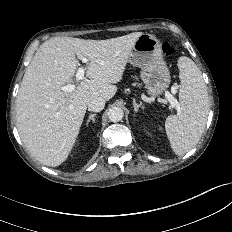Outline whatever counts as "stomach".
Returning a JSON list of instances; mask_svg holds the SVG:
<instances>
[{"instance_id":"obj_1","label":"stomach","mask_w":232,"mask_h":232,"mask_svg":"<svg viewBox=\"0 0 232 232\" xmlns=\"http://www.w3.org/2000/svg\"><path fill=\"white\" fill-rule=\"evenodd\" d=\"M128 61L141 69L140 77L148 94L159 96L169 87L170 71L155 35L142 34L135 42Z\"/></svg>"}]
</instances>
